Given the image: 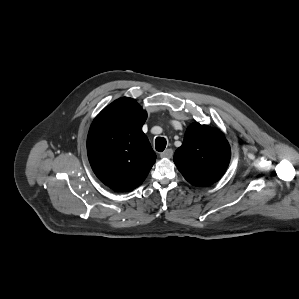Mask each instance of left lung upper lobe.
<instances>
[{"instance_id":"left-lung-upper-lobe-1","label":"left lung upper lobe","mask_w":299,"mask_h":299,"mask_svg":"<svg viewBox=\"0 0 299 299\" xmlns=\"http://www.w3.org/2000/svg\"><path fill=\"white\" fill-rule=\"evenodd\" d=\"M230 157L229 143L219 130L193 123L174 154V163L189 183L204 187L223 176Z\"/></svg>"}]
</instances>
